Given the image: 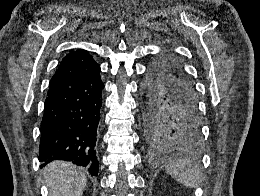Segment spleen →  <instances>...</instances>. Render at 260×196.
<instances>
[{"label": "spleen", "instance_id": "spleen-1", "mask_svg": "<svg viewBox=\"0 0 260 196\" xmlns=\"http://www.w3.org/2000/svg\"><path fill=\"white\" fill-rule=\"evenodd\" d=\"M166 172L183 186L187 188H196L198 182L202 176L201 170H199L196 164L190 162V160H176V162H169L166 164Z\"/></svg>", "mask_w": 260, "mask_h": 196}]
</instances>
